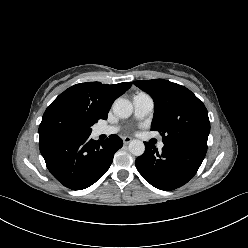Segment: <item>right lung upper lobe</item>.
<instances>
[{"instance_id":"cb5924a9","label":"right lung upper lobe","mask_w":248,"mask_h":248,"mask_svg":"<svg viewBox=\"0 0 248 248\" xmlns=\"http://www.w3.org/2000/svg\"><path fill=\"white\" fill-rule=\"evenodd\" d=\"M131 82L114 85L87 82L71 86L61 93L47 109L65 107L82 113L95 122L107 119L109 109L119 96L131 87Z\"/></svg>"}]
</instances>
